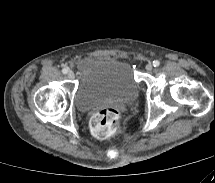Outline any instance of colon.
<instances>
[{
  "label": "colon",
  "mask_w": 215,
  "mask_h": 183,
  "mask_svg": "<svg viewBox=\"0 0 215 183\" xmlns=\"http://www.w3.org/2000/svg\"><path fill=\"white\" fill-rule=\"evenodd\" d=\"M119 121L120 113L116 108H105L92 116L90 129L95 136L105 138L118 130Z\"/></svg>",
  "instance_id": "1"
}]
</instances>
